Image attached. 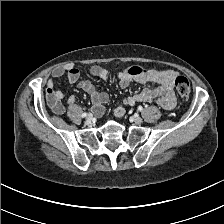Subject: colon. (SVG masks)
<instances>
[{
	"label": "colon",
	"instance_id": "1",
	"mask_svg": "<svg viewBox=\"0 0 224 224\" xmlns=\"http://www.w3.org/2000/svg\"><path fill=\"white\" fill-rule=\"evenodd\" d=\"M146 72L144 68L140 66H131L128 68V74L130 75H140L142 73ZM175 88L177 93L182 98H188L191 92L189 81L184 76H178L175 79Z\"/></svg>",
	"mask_w": 224,
	"mask_h": 224
}]
</instances>
